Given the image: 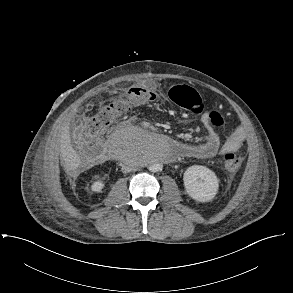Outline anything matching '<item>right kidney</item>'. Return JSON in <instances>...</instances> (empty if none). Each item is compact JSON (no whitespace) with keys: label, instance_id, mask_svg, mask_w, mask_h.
<instances>
[{"label":"right kidney","instance_id":"obj_1","mask_svg":"<svg viewBox=\"0 0 293 293\" xmlns=\"http://www.w3.org/2000/svg\"><path fill=\"white\" fill-rule=\"evenodd\" d=\"M91 191L95 193H99L104 188V182L101 180H96L91 185Z\"/></svg>","mask_w":293,"mask_h":293}]
</instances>
